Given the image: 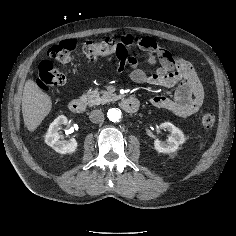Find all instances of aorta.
<instances>
[{
    "label": "aorta",
    "instance_id": "762f6f07",
    "mask_svg": "<svg viewBox=\"0 0 236 236\" xmlns=\"http://www.w3.org/2000/svg\"><path fill=\"white\" fill-rule=\"evenodd\" d=\"M107 115L112 122H119L121 119V111L117 108L109 109Z\"/></svg>",
    "mask_w": 236,
    "mask_h": 236
}]
</instances>
